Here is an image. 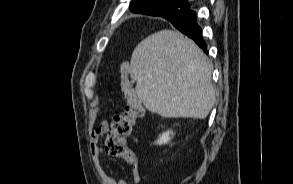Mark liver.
<instances>
[{
  "instance_id": "liver-1",
  "label": "liver",
  "mask_w": 293,
  "mask_h": 184,
  "mask_svg": "<svg viewBox=\"0 0 293 184\" xmlns=\"http://www.w3.org/2000/svg\"><path fill=\"white\" fill-rule=\"evenodd\" d=\"M212 66L182 33L158 31L134 49L130 76L146 109L167 118L204 119L215 102Z\"/></svg>"
}]
</instances>
